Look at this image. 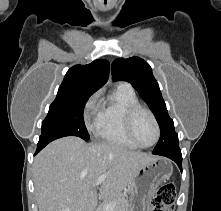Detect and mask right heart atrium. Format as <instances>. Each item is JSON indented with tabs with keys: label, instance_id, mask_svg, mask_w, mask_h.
Masks as SVG:
<instances>
[{
	"label": "right heart atrium",
	"instance_id": "obj_1",
	"mask_svg": "<svg viewBox=\"0 0 221 211\" xmlns=\"http://www.w3.org/2000/svg\"><path fill=\"white\" fill-rule=\"evenodd\" d=\"M99 114V92H96L88 98L83 108V119L89 131L97 130Z\"/></svg>",
	"mask_w": 221,
	"mask_h": 211
}]
</instances>
